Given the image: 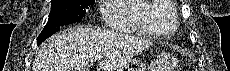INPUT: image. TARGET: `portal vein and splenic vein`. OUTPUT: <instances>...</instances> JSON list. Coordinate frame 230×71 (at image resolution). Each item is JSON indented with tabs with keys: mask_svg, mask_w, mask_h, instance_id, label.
Segmentation results:
<instances>
[{
	"mask_svg": "<svg viewBox=\"0 0 230 71\" xmlns=\"http://www.w3.org/2000/svg\"><path fill=\"white\" fill-rule=\"evenodd\" d=\"M102 58V55L101 54H97L96 56H95V61H97V60H100Z\"/></svg>",
	"mask_w": 230,
	"mask_h": 71,
	"instance_id": "portal-vein-and-splenic-vein-1",
	"label": "portal vein and splenic vein"
}]
</instances>
